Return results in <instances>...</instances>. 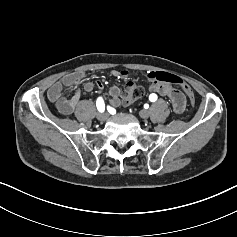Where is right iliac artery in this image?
<instances>
[{
    "label": "right iliac artery",
    "instance_id": "obj_1",
    "mask_svg": "<svg viewBox=\"0 0 237 237\" xmlns=\"http://www.w3.org/2000/svg\"><path fill=\"white\" fill-rule=\"evenodd\" d=\"M96 106H97V109L99 112H104L105 110V104H104V101L102 99V97H99L96 101Z\"/></svg>",
    "mask_w": 237,
    "mask_h": 237
}]
</instances>
